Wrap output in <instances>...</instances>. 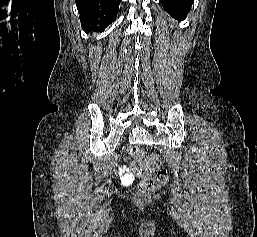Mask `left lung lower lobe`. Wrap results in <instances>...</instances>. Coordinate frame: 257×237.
Listing matches in <instances>:
<instances>
[{"label":"left lung lower lobe","instance_id":"0a47b994","mask_svg":"<svg viewBox=\"0 0 257 237\" xmlns=\"http://www.w3.org/2000/svg\"><path fill=\"white\" fill-rule=\"evenodd\" d=\"M194 0H160L163 8L176 20H183L191 9Z\"/></svg>","mask_w":257,"mask_h":237}]
</instances>
